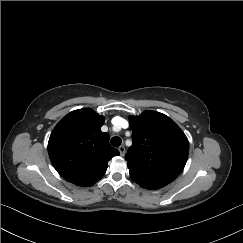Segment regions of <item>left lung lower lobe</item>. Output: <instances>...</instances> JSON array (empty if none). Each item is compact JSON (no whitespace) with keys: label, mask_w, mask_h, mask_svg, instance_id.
<instances>
[{"label":"left lung lower lobe","mask_w":243,"mask_h":243,"mask_svg":"<svg viewBox=\"0 0 243 243\" xmlns=\"http://www.w3.org/2000/svg\"><path fill=\"white\" fill-rule=\"evenodd\" d=\"M167 185V184H166ZM165 185H163V186H159V187H157V188H153V189H158V188H161V187H164Z\"/></svg>","instance_id":"1"}]
</instances>
